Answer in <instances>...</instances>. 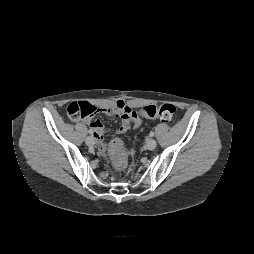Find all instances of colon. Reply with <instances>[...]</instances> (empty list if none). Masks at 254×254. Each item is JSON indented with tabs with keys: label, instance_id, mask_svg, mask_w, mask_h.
Masks as SVG:
<instances>
[{
	"label": "colon",
	"instance_id": "colon-1",
	"mask_svg": "<svg viewBox=\"0 0 254 254\" xmlns=\"http://www.w3.org/2000/svg\"><path fill=\"white\" fill-rule=\"evenodd\" d=\"M96 108L86 102H74L67 106L66 115L72 121L92 120ZM138 114L148 119H159L163 122H171L176 116V108L172 104L159 103L144 106ZM112 156L116 166L120 169L126 166V161L118 141L112 144Z\"/></svg>",
	"mask_w": 254,
	"mask_h": 254
}]
</instances>
